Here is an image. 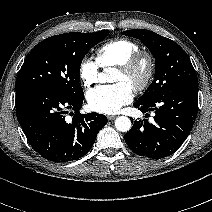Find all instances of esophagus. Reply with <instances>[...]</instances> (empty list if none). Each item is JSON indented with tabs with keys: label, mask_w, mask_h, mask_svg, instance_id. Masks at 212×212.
I'll list each match as a JSON object with an SVG mask.
<instances>
[{
	"label": "esophagus",
	"mask_w": 212,
	"mask_h": 212,
	"mask_svg": "<svg viewBox=\"0 0 212 212\" xmlns=\"http://www.w3.org/2000/svg\"><path fill=\"white\" fill-rule=\"evenodd\" d=\"M107 118H108V120H114L116 118V116L115 115H109V116H107Z\"/></svg>",
	"instance_id": "esophagus-1"
}]
</instances>
